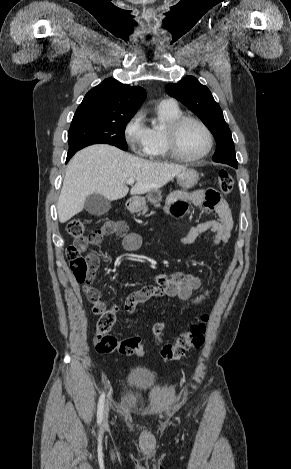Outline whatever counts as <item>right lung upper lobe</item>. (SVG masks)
<instances>
[{"label":"right lung upper lobe","instance_id":"obj_1","mask_svg":"<svg viewBox=\"0 0 291 469\" xmlns=\"http://www.w3.org/2000/svg\"><path fill=\"white\" fill-rule=\"evenodd\" d=\"M145 98L143 88L107 78L85 95L75 114L134 116Z\"/></svg>","mask_w":291,"mask_h":469}]
</instances>
